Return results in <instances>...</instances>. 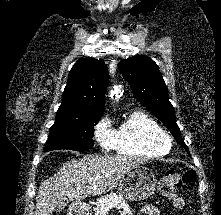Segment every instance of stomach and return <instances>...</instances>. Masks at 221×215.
Instances as JSON below:
<instances>
[{
  "label": "stomach",
  "mask_w": 221,
  "mask_h": 215,
  "mask_svg": "<svg viewBox=\"0 0 221 215\" xmlns=\"http://www.w3.org/2000/svg\"><path fill=\"white\" fill-rule=\"evenodd\" d=\"M156 178L153 172L144 166H136L120 180L118 191L121 196L132 201L149 198L155 191ZM86 207L77 208V215H87Z\"/></svg>",
  "instance_id": "0dacf381"
}]
</instances>
